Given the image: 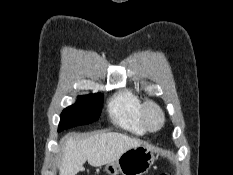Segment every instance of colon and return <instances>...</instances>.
Wrapping results in <instances>:
<instances>
[{
	"label": "colon",
	"mask_w": 233,
	"mask_h": 175,
	"mask_svg": "<svg viewBox=\"0 0 233 175\" xmlns=\"http://www.w3.org/2000/svg\"><path fill=\"white\" fill-rule=\"evenodd\" d=\"M161 175H170L169 173H167V172H165V173H163V174H161Z\"/></svg>",
	"instance_id": "1"
}]
</instances>
